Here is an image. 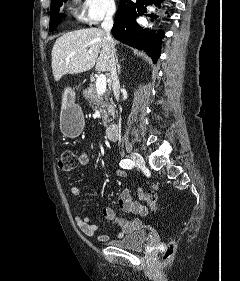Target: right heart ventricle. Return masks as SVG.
Returning <instances> with one entry per match:
<instances>
[{"instance_id": "right-heart-ventricle-1", "label": "right heart ventricle", "mask_w": 240, "mask_h": 281, "mask_svg": "<svg viewBox=\"0 0 240 281\" xmlns=\"http://www.w3.org/2000/svg\"><path fill=\"white\" fill-rule=\"evenodd\" d=\"M74 15H75V17H77V18H81V15L78 13L77 10L74 11Z\"/></svg>"}]
</instances>
